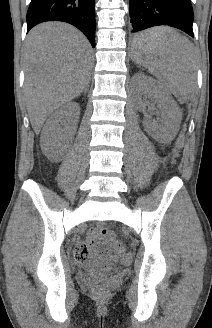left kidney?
I'll use <instances>...</instances> for the list:
<instances>
[{
	"instance_id": "5707ae66",
	"label": "left kidney",
	"mask_w": 212,
	"mask_h": 328,
	"mask_svg": "<svg viewBox=\"0 0 212 328\" xmlns=\"http://www.w3.org/2000/svg\"><path fill=\"white\" fill-rule=\"evenodd\" d=\"M137 98L136 108L139 111H144V101L142 95H148L155 100L156 105L160 109L162 123L155 124L145 120L143 125L145 129L159 142H168L172 140L181 122V110L170 95L156 80L145 75H136Z\"/></svg>"
}]
</instances>
